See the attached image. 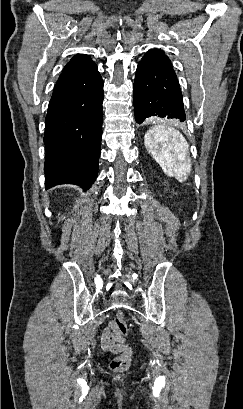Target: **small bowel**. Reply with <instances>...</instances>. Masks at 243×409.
Returning a JSON list of instances; mask_svg holds the SVG:
<instances>
[{
    "label": "small bowel",
    "mask_w": 243,
    "mask_h": 409,
    "mask_svg": "<svg viewBox=\"0 0 243 409\" xmlns=\"http://www.w3.org/2000/svg\"><path fill=\"white\" fill-rule=\"evenodd\" d=\"M101 346L105 352L119 353L124 350V345L119 343V339L114 332L113 321L109 322L101 335Z\"/></svg>",
    "instance_id": "c3829d8e"
}]
</instances>
